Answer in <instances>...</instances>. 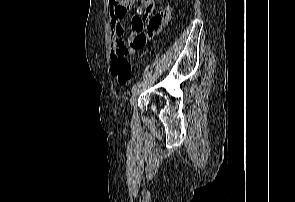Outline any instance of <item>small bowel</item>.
Wrapping results in <instances>:
<instances>
[{
	"instance_id": "small-bowel-1",
	"label": "small bowel",
	"mask_w": 295,
	"mask_h": 202,
	"mask_svg": "<svg viewBox=\"0 0 295 202\" xmlns=\"http://www.w3.org/2000/svg\"><path fill=\"white\" fill-rule=\"evenodd\" d=\"M134 0H109L110 17V37H111V57L115 52L127 49L129 53L143 48L148 39L155 34L169 19L171 8L165 5L161 10L155 11L154 0H140L139 13L150 16L148 20L136 15L132 19V32L128 46L125 45L122 34L124 28L122 20L128 10L132 7Z\"/></svg>"
}]
</instances>
